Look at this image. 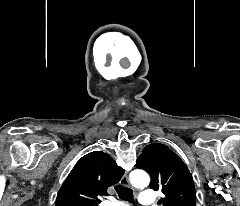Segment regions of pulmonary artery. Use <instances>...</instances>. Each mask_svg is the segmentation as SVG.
<instances>
[{
  "label": "pulmonary artery",
  "instance_id": "pulmonary-artery-1",
  "mask_svg": "<svg viewBox=\"0 0 240 206\" xmlns=\"http://www.w3.org/2000/svg\"><path fill=\"white\" fill-rule=\"evenodd\" d=\"M154 202V194L151 190L142 191L139 195V203L142 205H151ZM108 206H128L123 202H112Z\"/></svg>",
  "mask_w": 240,
  "mask_h": 206
}]
</instances>
